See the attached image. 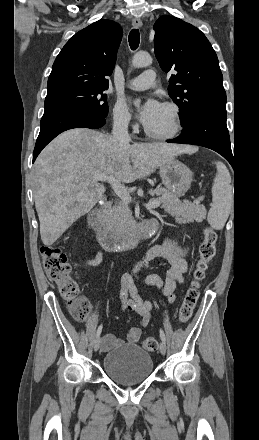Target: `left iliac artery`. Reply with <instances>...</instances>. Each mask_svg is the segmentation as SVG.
<instances>
[{
    "label": "left iliac artery",
    "mask_w": 259,
    "mask_h": 440,
    "mask_svg": "<svg viewBox=\"0 0 259 440\" xmlns=\"http://www.w3.org/2000/svg\"><path fill=\"white\" fill-rule=\"evenodd\" d=\"M160 338L163 342H166V337L162 329H160Z\"/></svg>",
    "instance_id": "left-iliac-artery-1"
}]
</instances>
